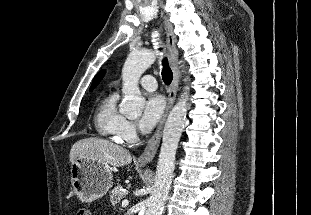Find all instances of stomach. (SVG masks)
Wrapping results in <instances>:
<instances>
[{
    "mask_svg": "<svg viewBox=\"0 0 311 215\" xmlns=\"http://www.w3.org/2000/svg\"><path fill=\"white\" fill-rule=\"evenodd\" d=\"M111 183L112 172L106 163L78 158L71 164V184L82 202H92L103 197Z\"/></svg>",
    "mask_w": 311,
    "mask_h": 215,
    "instance_id": "1",
    "label": "stomach"
}]
</instances>
